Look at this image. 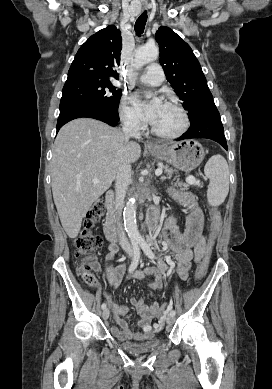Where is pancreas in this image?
Returning a JSON list of instances; mask_svg holds the SVG:
<instances>
[{
    "mask_svg": "<svg viewBox=\"0 0 272 389\" xmlns=\"http://www.w3.org/2000/svg\"><path fill=\"white\" fill-rule=\"evenodd\" d=\"M161 168L167 174V176L164 177L163 179L171 178L172 173L174 172V170L171 167H169V165H163ZM187 179H186V183H183V182H180V181L177 180L176 186L180 187V189H182V190H187L190 185H200L199 181H196V183H190Z\"/></svg>",
    "mask_w": 272,
    "mask_h": 389,
    "instance_id": "1",
    "label": "pancreas"
}]
</instances>
